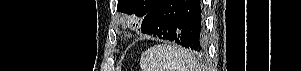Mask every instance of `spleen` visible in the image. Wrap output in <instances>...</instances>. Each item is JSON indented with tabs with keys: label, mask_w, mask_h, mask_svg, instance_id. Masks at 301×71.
<instances>
[{
	"label": "spleen",
	"mask_w": 301,
	"mask_h": 71,
	"mask_svg": "<svg viewBox=\"0 0 301 71\" xmlns=\"http://www.w3.org/2000/svg\"><path fill=\"white\" fill-rule=\"evenodd\" d=\"M143 71H198L196 58L175 45L158 44L141 57Z\"/></svg>",
	"instance_id": "obj_1"
}]
</instances>
